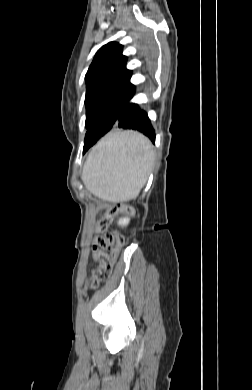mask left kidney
<instances>
[{"label": "left kidney", "mask_w": 252, "mask_h": 390, "mask_svg": "<svg viewBox=\"0 0 252 390\" xmlns=\"http://www.w3.org/2000/svg\"><path fill=\"white\" fill-rule=\"evenodd\" d=\"M129 221H130L129 218H120L118 221V225H120L122 227L127 226Z\"/></svg>", "instance_id": "obj_1"}]
</instances>
